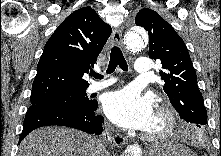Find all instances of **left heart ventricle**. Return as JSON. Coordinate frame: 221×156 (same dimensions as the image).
Returning a JSON list of instances; mask_svg holds the SVG:
<instances>
[{"instance_id": "b2bd125f", "label": "left heart ventricle", "mask_w": 221, "mask_h": 156, "mask_svg": "<svg viewBox=\"0 0 221 156\" xmlns=\"http://www.w3.org/2000/svg\"><path fill=\"white\" fill-rule=\"evenodd\" d=\"M159 125H160V122H159L158 118L155 116V119L148 130L157 129L159 127Z\"/></svg>"}]
</instances>
